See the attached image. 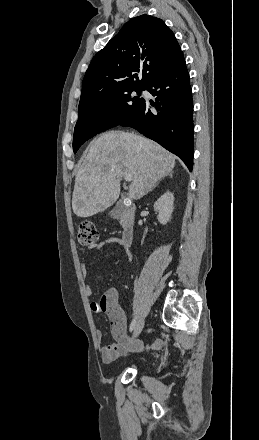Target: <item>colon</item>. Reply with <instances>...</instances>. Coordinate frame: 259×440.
<instances>
[{
    "instance_id": "colon-1",
    "label": "colon",
    "mask_w": 259,
    "mask_h": 440,
    "mask_svg": "<svg viewBox=\"0 0 259 440\" xmlns=\"http://www.w3.org/2000/svg\"><path fill=\"white\" fill-rule=\"evenodd\" d=\"M78 239L82 245L92 246L98 241V232L92 222L84 221L79 225Z\"/></svg>"
}]
</instances>
